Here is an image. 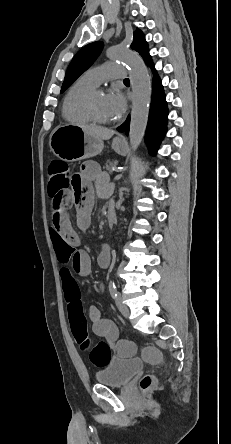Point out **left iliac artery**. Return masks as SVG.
<instances>
[{"label": "left iliac artery", "instance_id": "1", "mask_svg": "<svg viewBox=\"0 0 231 444\" xmlns=\"http://www.w3.org/2000/svg\"><path fill=\"white\" fill-rule=\"evenodd\" d=\"M109 291H110V294L113 298H115L117 296L116 285H115V282L112 280L109 282Z\"/></svg>", "mask_w": 231, "mask_h": 444}]
</instances>
